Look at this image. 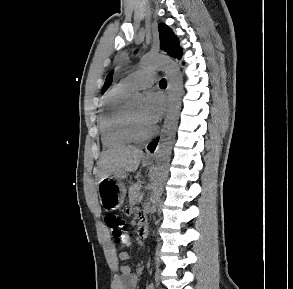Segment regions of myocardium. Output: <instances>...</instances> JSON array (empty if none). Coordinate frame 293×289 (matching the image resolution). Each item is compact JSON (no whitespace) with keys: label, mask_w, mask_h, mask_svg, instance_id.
<instances>
[{"label":"myocardium","mask_w":293,"mask_h":289,"mask_svg":"<svg viewBox=\"0 0 293 289\" xmlns=\"http://www.w3.org/2000/svg\"><path fill=\"white\" fill-rule=\"evenodd\" d=\"M126 125H127V133L134 143H144L151 140L156 134V128L152 127L149 133L147 134H140L135 121L131 115L130 109L127 108L126 110Z\"/></svg>","instance_id":"obj_1"}]
</instances>
